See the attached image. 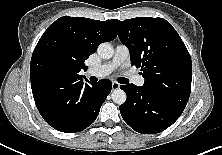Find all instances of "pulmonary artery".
Masks as SVG:
<instances>
[{"instance_id":"pulmonary-artery-1","label":"pulmonary artery","mask_w":222,"mask_h":155,"mask_svg":"<svg viewBox=\"0 0 222 155\" xmlns=\"http://www.w3.org/2000/svg\"><path fill=\"white\" fill-rule=\"evenodd\" d=\"M129 54L130 52L126 45L118 44L115 47L113 58L99 66L89 68L87 70V75L100 78L105 77L109 75L114 69L124 64L125 61L129 58ZM132 82L138 86H142L144 84V78L139 75H133Z\"/></svg>"}]
</instances>
